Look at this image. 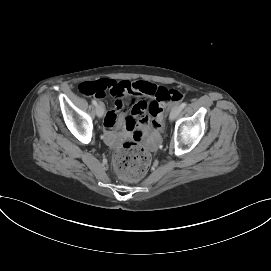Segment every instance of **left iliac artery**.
I'll use <instances>...</instances> for the list:
<instances>
[{
    "label": "left iliac artery",
    "mask_w": 271,
    "mask_h": 271,
    "mask_svg": "<svg viewBox=\"0 0 271 271\" xmlns=\"http://www.w3.org/2000/svg\"><path fill=\"white\" fill-rule=\"evenodd\" d=\"M186 105H187V103H186V102H183V103L180 105L181 109L185 108Z\"/></svg>",
    "instance_id": "obj_1"
}]
</instances>
